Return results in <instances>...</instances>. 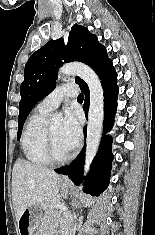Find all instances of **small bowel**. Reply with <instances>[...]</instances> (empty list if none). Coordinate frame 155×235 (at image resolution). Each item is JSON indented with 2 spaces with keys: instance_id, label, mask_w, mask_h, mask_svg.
I'll return each mask as SVG.
<instances>
[{
  "instance_id": "1",
  "label": "small bowel",
  "mask_w": 155,
  "mask_h": 235,
  "mask_svg": "<svg viewBox=\"0 0 155 235\" xmlns=\"http://www.w3.org/2000/svg\"><path fill=\"white\" fill-rule=\"evenodd\" d=\"M40 235H49L48 229L43 231V232H41Z\"/></svg>"
}]
</instances>
